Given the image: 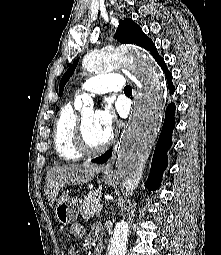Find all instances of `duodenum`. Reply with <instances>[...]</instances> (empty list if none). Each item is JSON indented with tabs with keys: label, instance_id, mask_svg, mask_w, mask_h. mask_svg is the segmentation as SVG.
Segmentation results:
<instances>
[{
	"label": "duodenum",
	"instance_id": "410a0bca",
	"mask_svg": "<svg viewBox=\"0 0 221 255\" xmlns=\"http://www.w3.org/2000/svg\"><path fill=\"white\" fill-rule=\"evenodd\" d=\"M102 254V244L100 241H97L95 245L94 255H101Z\"/></svg>",
	"mask_w": 221,
	"mask_h": 255
}]
</instances>
